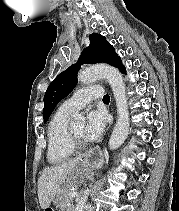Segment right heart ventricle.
<instances>
[{"label": "right heart ventricle", "instance_id": "obj_1", "mask_svg": "<svg viewBox=\"0 0 179 211\" xmlns=\"http://www.w3.org/2000/svg\"><path fill=\"white\" fill-rule=\"evenodd\" d=\"M72 115L59 108L51 117L47 127V159L52 165L68 161L75 150L69 140V118Z\"/></svg>", "mask_w": 179, "mask_h": 211}]
</instances>
